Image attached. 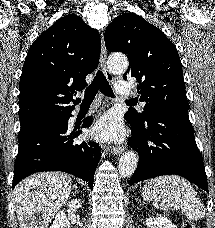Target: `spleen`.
Here are the masks:
<instances>
[{
	"label": "spleen",
	"instance_id": "obj_1",
	"mask_svg": "<svg viewBox=\"0 0 215 228\" xmlns=\"http://www.w3.org/2000/svg\"><path fill=\"white\" fill-rule=\"evenodd\" d=\"M142 198L153 202L157 210H181L190 222L205 216L204 206L194 188L179 176H159L148 180Z\"/></svg>",
	"mask_w": 215,
	"mask_h": 228
}]
</instances>
